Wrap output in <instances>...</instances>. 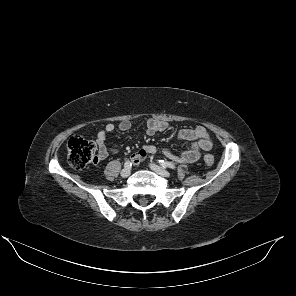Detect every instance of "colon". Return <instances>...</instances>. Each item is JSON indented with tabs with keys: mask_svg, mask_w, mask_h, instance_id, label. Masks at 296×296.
Wrapping results in <instances>:
<instances>
[{
	"mask_svg": "<svg viewBox=\"0 0 296 296\" xmlns=\"http://www.w3.org/2000/svg\"><path fill=\"white\" fill-rule=\"evenodd\" d=\"M67 149L69 162L77 169H82L97 160L95 143L82 137L73 136L68 141ZM204 163L206 166H212L214 163L213 156L205 155Z\"/></svg>",
	"mask_w": 296,
	"mask_h": 296,
	"instance_id": "1",
	"label": "colon"
}]
</instances>
